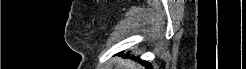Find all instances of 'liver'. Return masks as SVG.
I'll list each match as a JSON object with an SVG mask.
<instances>
[{
    "instance_id": "obj_1",
    "label": "liver",
    "mask_w": 246,
    "mask_h": 69,
    "mask_svg": "<svg viewBox=\"0 0 246 69\" xmlns=\"http://www.w3.org/2000/svg\"><path fill=\"white\" fill-rule=\"evenodd\" d=\"M121 69H142L140 65H137L136 63L132 61H121Z\"/></svg>"
}]
</instances>
